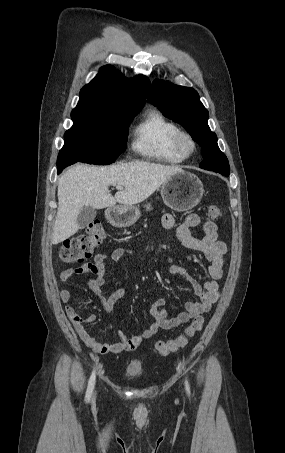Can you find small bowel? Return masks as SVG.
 <instances>
[{
  "label": "small bowel",
  "mask_w": 285,
  "mask_h": 453,
  "mask_svg": "<svg viewBox=\"0 0 285 453\" xmlns=\"http://www.w3.org/2000/svg\"><path fill=\"white\" fill-rule=\"evenodd\" d=\"M201 218L197 214H190L176 226L175 219L171 214H165L162 217V226L166 230L176 229V236L179 242L186 248L200 252L209 262L208 275L201 281L194 278L186 269L179 265H171L167 272L187 280L193 287L198 301H187L185 311L177 316L168 318L163 308L164 299L157 300L150 309L153 318L151 325L141 334L128 337L119 332V341L114 343H103L97 341L87 330L86 325L96 320V315L81 316L76 312L73 306L69 304L71 292L68 288L60 289V298L65 304L66 314L74 325L76 332L81 340L99 354L121 353L135 350L143 341L152 338L159 330H170L187 323L191 319L200 317L203 313L208 312L212 305L218 300L219 280L223 277L224 255L226 253V244L218 240L217 225L207 220L203 222L202 227L204 236L196 238L191 234V228L198 226ZM133 253L132 249L126 247L116 248L110 255L97 254L93 262L85 263L81 266L68 268L60 275V280L66 282L73 276L91 274L88 285L94 296L101 304L104 311L109 314L115 303L124 295L123 289H117L111 292L107 297L103 296L104 274L106 261L110 258L112 261H119L126 254Z\"/></svg>",
  "instance_id": "c3829d8e"
}]
</instances>
